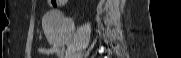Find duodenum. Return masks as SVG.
<instances>
[{
  "label": "duodenum",
  "mask_w": 181,
  "mask_h": 58,
  "mask_svg": "<svg viewBox=\"0 0 181 58\" xmlns=\"http://www.w3.org/2000/svg\"><path fill=\"white\" fill-rule=\"evenodd\" d=\"M59 2L63 3L64 1H62V0H59Z\"/></svg>",
  "instance_id": "1"
}]
</instances>
